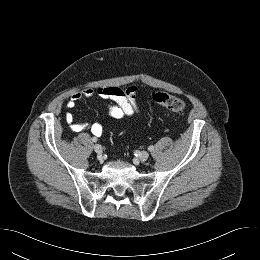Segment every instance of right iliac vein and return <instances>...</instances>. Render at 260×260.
Segmentation results:
<instances>
[{"label":"right iliac vein","instance_id":"1","mask_svg":"<svg viewBox=\"0 0 260 260\" xmlns=\"http://www.w3.org/2000/svg\"><path fill=\"white\" fill-rule=\"evenodd\" d=\"M94 150L98 154V156L101 157V155H102V147H101V145L95 144L94 145Z\"/></svg>","mask_w":260,"mask_h":260}]
</instances>
